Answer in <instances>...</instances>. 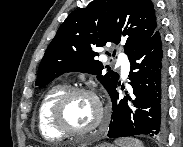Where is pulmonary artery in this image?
Instances as JSON below:
<instances>
[{
    "mask_svg": "<svg viewBox=\"0 0 183 147\" xmlns=\"http://www.w3.org/2000/svg\"><path fill=\"white\" fill-rule=\"evenodd\" d=\"M118 64L120 65L123 74L127 75L130 67L129 61L126 58L122 57V59L118 61Z\"/></svg>",
    "mask_w": 183,
    "mask_h": 147,
    "instance_id": "pulmonary-artery-1",
    "label": "pulmonary artery"
}]
</instances>
